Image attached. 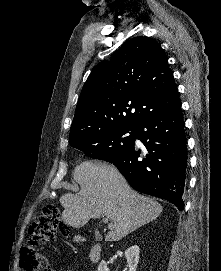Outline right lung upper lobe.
<instances>
[{"instance_id":"right-lung-upper-lobe-1","label":"right lung upper lobe","mask_w":221,"mask_h":271,"mask_svg":"<svg viewBox=\"0 0 221 271\" xmlns=\"http://www.w3.org/2000/svg\"><path fill=\"white\" fill-rule=\"evenodd\" d=\"M179 104L173 73L160 45L146 37L132 38L89 75L69 142L114 126L137 127L146 118Z\"/></svg>"}]
</instances>
